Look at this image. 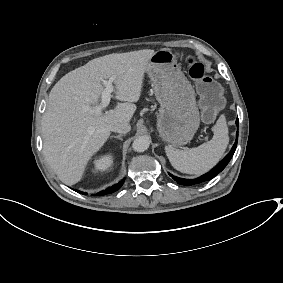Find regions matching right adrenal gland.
I'll return each mask as SVG.
<instances>
[{"instance_id":"right-adrenal-gland-1","label":"right adrenal gland","mask_w":283,"mask_h":283,"mask_svg":"<svg viewBox=\"0 0 283 283\" xmlns=\"http://www.w3.org/2000/svg\"><path fill=\"white\" fill-rule=\"evenodd\" d=\"M121 136H124V133H121L118 136H111L109 139H118V140L122 141Z\"/></svg>"}]
</instances>
